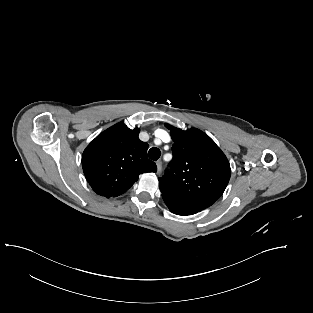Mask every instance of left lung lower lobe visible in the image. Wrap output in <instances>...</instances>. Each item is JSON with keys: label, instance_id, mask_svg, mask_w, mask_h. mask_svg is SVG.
Returning <instances> with one entry per match:
<instances>
[{"label": "left lung lower lobe", "instance_id": "left-lung-lower-lobe-1", "mask_svg": "<svg viewBox=\"0 0 313 313\" xmlns=\"http://www.w3.org/2000/svg\"><path fill=\"white\" fill-rule=\"evenodd\" d=\"M164 202L166 203L167 207L169 208V210L177 215H182V216H187V215H193L197 212H199V210H196L194 208H191L189 206H186L182 203H179L171 198L162 196Z\"/></svg>", "mask_w": 313, "mask_h": 313}]
</instances>
